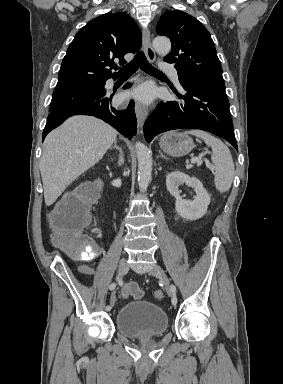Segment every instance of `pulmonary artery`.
<instances>
[{"instance_id":"obj_1","label":"pulmonary artery","mask_w":283,"mask_h":384,"mask_svg":"<svg viewBox=\"0 0 283 384\" xmlns=\"http://www.w3.org/2000/svg\"><path fill=\"white\" fill-rule=\"evenodd\" d=\"M162 65H163V70L166 72V75L178 76L177 68H172L171 64H166L165 62ZM176 84L180 86V83H176ZM106 85L107 87H111L113 85V80L111 79L108 80Z\"/></svg>"}]
</instances>
